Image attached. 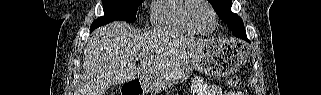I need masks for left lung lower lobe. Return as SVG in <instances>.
Here are the masks:
<instances>
[{
    "label": "left lung lower lobe",
    "instance_id": "left-lung-lower-lobe-1",
    "mask_svg": "<svg viewBox=\"0 0 321 95\" xmlns=\"http://www.w3.org/2000/svg\"><path fill=\"white\" fill-rule=\"evenodd\" d=\"M238 38L247 40L246 33L244 32V33L239 34ZM247 41H248V40H247Z\"/></svg>",
    "mask_w": 321,
    "mask_h": 95
}]
</instances>
